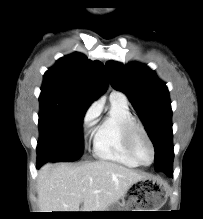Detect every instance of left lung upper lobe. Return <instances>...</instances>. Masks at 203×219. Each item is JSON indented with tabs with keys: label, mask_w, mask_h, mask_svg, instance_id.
Listing matches in <instances>:
<instances>
[{
	"label": "left lung upper lobe",
	"mask_w": 203,
	"mask_h": 219,
	"mask_svg": "<svg viewBox=\"0 0 203 219\" xmlns=\"http://www.w3.org/2000/svg\"><path fill=\"white\" fill-rule=\"evenodd\" d=\"M106 69L112 87L126 94L145 126L155 147V169L173 163L172 110L165 83L138 62L109 61Z\"/></svg>",
	"instance_id": "1"
}]
</instances>
